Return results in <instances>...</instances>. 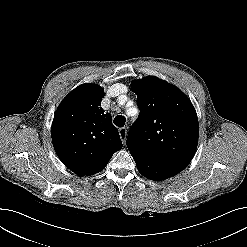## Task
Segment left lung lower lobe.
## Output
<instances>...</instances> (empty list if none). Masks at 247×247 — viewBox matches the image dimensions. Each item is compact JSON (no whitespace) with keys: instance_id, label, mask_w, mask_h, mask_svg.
Wrapping results in <instances>:
<instances>
[{"instance_id":"left-lung-lower-lobe-1","label":"left lung lower lobe","mask_w":247,"mask_h":247,"mask_svg":"<svg viewBox=\"0 0 247 247\" xmlns=\"http://www.w3.org/2000/svg\"><path fill=\"white\" fill-rule=\"evenodd\" d=\"M139 172L151 180H164L178 174L182 169L170 166H162L151 163L145 159L133 157Z\"/></svg>"}]
</instances>
